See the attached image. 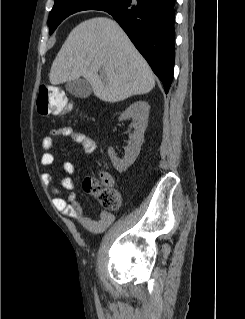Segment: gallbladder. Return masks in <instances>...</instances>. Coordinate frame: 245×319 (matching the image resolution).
<instances>
[{"label": "gallbladder", "instance_id": "gallbladder-1", "mask_svg": "<svg viewBox=\"0 0 245 319\" xmlns=\"http://www.w3.org/2000/svg\"><path fill=\"white\" fill-rule=\"evenodd\" d=\"M65 88L70 94L78 98H87L92 93L91 85L81 78L68 81Z\"/></svg>", "mask_w": 245, "mask_h": 319}]
</instances>
